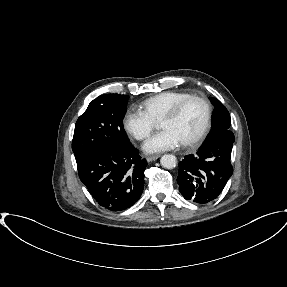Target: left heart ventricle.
Segmentation results:
<instances>
[{
    "label": "left heart ventricle",
    "instance_id": "b2bd125f",
    "mask_svg": "<svg viewBox=\"0 0 287 287\" xmlns=\"http://www.w3.org/2000/svg\"><path fill=\"white\" fill-rule=\"evenodd\" d=\"M203 117V106L199 102L192 101L185 105L177 117L161 119L159 126L162 129H172L184 142L199 131Z\"/></svg>",
    "mask_w": 287,
    "mask_h": 287
}]
</instances>
